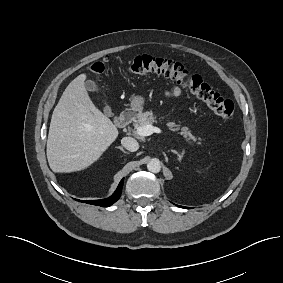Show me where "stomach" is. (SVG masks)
<instances>
[{"label": "stomach", "mask_w": 283, "mask_h": 283, "mask_svg": "<svg viewBox=\"0 0 283 283\" xmlns=\"http://www.w3.org/2000/svg\"><path fill=\"white\" fill-rule=\"evenodd\" d=\"M144 103L145 99L143 96L135 95L131 99L130 106L134 112H141L143 110Z\"/></svg>", "instance_id": "stomach-1"}]
</instances>
